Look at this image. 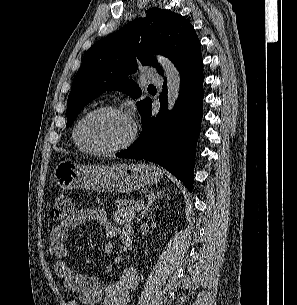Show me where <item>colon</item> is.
Segmentation results:
<instances>
[{
	"label": "colon",
	"mask_w": 297,
	"mask_h": 305,
	"mask_svg": "<svg viewBox=\"0 0 297 305\" xmlns=\"http://www.w3.org/2000/svg\"><path fill=\"white\" fill-rule=\"evenodd\" d=\"M75 210V203L69 197L60 195L51 210V219L55 222L66 221L74 215Z\"/></svg>",
	"instance_id": "colon-1"
}]
</instances>
